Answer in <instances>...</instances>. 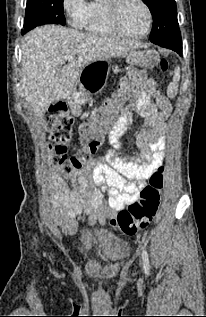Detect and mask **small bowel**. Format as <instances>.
Segmentation results:
<instances>
[{"mask_svg":"<svg viewBox=\"0 0 206 317\" xmlns=\"http://www.w3.org/2000/svg\"><path fill=\"white\" fill-rule=\"evenodd\" d=\"M171 112V104L156 82L146 80L134 104L127 108L109 133L113 149L72 176L71 183L76 189L68 195L70 204L61 213L52 214L65 233L76 232L81 215L91 222L104 224L114 212L137 201L147 180L164 163V133ZM133 114L144 118L134 140L125 136ZM121 149H135L138 155L130 160L123 159L118 154Z\"/></svg>","mask_w":206,"mask_h":317,"instance_id":"obj_1","label":"small bowel"}]
</instances>
